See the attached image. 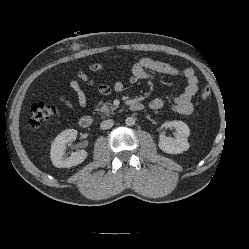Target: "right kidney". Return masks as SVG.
I'll list each match as a JSON object with an SVG mask.
<instances>
[{
  "label": "right kidney",
  "instance_id": "obj_1",
  "mask_svg": "<svg viewBox=\"0 0 249 249\" xmlns=\"http://www.w3.org/2000/svg\"><path fill=\"white\" fill-rule=\"evenodd\" d=\"M77 137V130L66 129L61 132L51 145L50 158L55 167L70 168L82 163L88 153L85 150H80L71 153L69 157H65V145L69 141L75 140Z\"/></svg>",
  "mask_w": 249,
  "mask_h": 249
}]
</instances>
